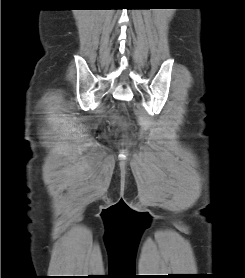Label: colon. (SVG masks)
<instances>
[{"mask_svg":"<svg viewBox=\"0 0 245 278\" xmlns=\"http://www.w3.org/2000/svg\"><path fill=\"white\" fill-rule=\"evenodd\" d=\"M110 117H111L112 122H114V123H121L122 122V117L119 114L118 110H114Z\"/></svg>","mask_w":245,"mask_h":278,"instance_id":"1","label":"colon"}]
</instances>
